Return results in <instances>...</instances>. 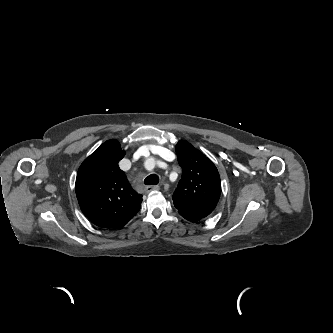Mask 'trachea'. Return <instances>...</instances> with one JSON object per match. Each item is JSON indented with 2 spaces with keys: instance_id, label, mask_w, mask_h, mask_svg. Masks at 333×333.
I'll return each instance as SVG.
<instances>
[{
  "instance_id": "trachea-1",
  "label": "trachea",
  "mask_w": 333,
  "mask_h": 333,
  "mask_svg": "<svg viewBox=\"0 0 333 333\" xmlns=\"http://www.w3.org/2000/svg\"><path fill=\"white\" fill-rule=\"evenodd\" d=\"M159 183V177L156 174L147 176L144 180L145 185H157Z\"/></svg>"
}]
</instances>
